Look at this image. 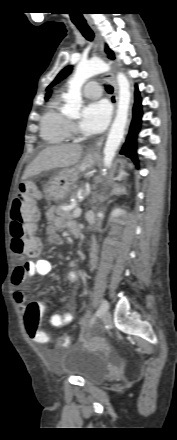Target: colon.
<instances>
[{"label":"colon","instance_id":"obj_1","mask_svg":"<svg viewBox=\"0 0 177 440\" xmlns=\"http://www.w3.org/2000/svg\"><path fill=\"white\" fill-rule=\"evenodd\" d=\"M39 198V191L33 182L23 183L19 193L15 197L11 207L10 234L12 236V251L14 255L24 260L28 256L38 253L39 244L34 238L36 224L39 220V212L36 208V201ZM50 298H32L24 313V324L29 335L30 342H37L38 347L43 348L46 342L51 339L47 330H40V320L43 313V306H49ZM61 346H70L69 335L58 334L56 336Z\"/></svg>","mask_w":177,"mask_h":440}]
</instances>
